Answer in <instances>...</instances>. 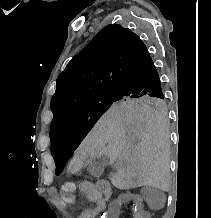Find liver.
Here are the masks:
<instances>
[{
    "instance_id": "obj_1",
    "label": "liver",
    "mask_w": 211,
    "mask_h": 218,
    "mask_svg": "<svg viewBox=\"0 0 211 218\" xmlns=\"http://www.w3.org/2000/svg\"><path fill=\"white\" fill-rule=\"evenodd\" d=\"M98 156H108L111 164L122 162L112 176L118 190L140 186L169 190V136L157 110L113 104L80 144L73 164L80 170L86 158Z\"/></svg>"
}]
</instances>
